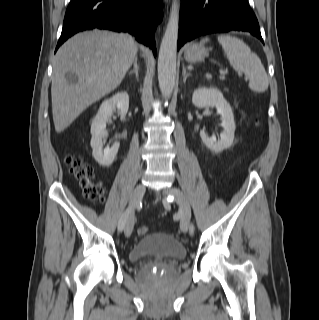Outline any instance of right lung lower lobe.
Instances as JSON below:
<instances>
[{
	"label": "right lung lower lobe",
	"instance_id": "obj_1",
	"mask_svg": "<svg viewBox=\"0 0 319 320\" xmlns=\"http://www.w3.org/2000/svg\"><path fill=\"white\" fill-rule=\"evenodd\" d=\"M162 18V0H72L56 50L75 33L100 28L129 32L155 52L154 32Z\"/></svg>",
	"mask_w": 319,
	"mask_h": 320
}]
</instances>
